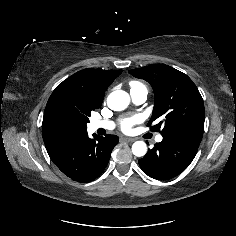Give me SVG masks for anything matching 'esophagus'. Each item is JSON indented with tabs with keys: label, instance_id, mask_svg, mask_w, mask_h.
<instances>
[{
	"label": "esophagus",
	"instance_id": "34e87169",
	"mask_svg": "<svg viewBox=\"0 0 236 236\" xmlns=\"http://www.w3.org/2000/svg\"><path fill=\"white\" fill-rule=\"evenodd\" d=\"M122 139L126 142H134L135 141V139L131 138V137H123Z\"/></svg>",
	"mask_w": 236,
	"mask_h": 236
}]
</instances>
